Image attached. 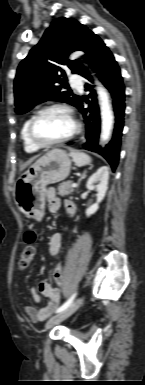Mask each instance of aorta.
Listing matches in <instances>:
<instances>
[{
  "label": "aorta",
  "mask_w": 145,
  "mask_h": 385,
  "mask_svg": "<svg viewBox=\"0 0 145 385\" xmlns=\"http://www.w3.org/2000/svg\"><path fill=\"white\" fill-rule=\"evenodd\" d=\"M97 84V93L100 101L101 109V141L106 142L109 140L114 123V115L109 101V95L106 89L102 86L100 82L96 80Z\"/></svg>",
  "instance_id": "obj_1"
}]
</instances>
